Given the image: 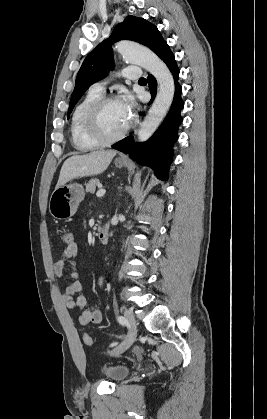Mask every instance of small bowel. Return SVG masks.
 Returning a JSON list of instances; mask_svg holds the SVG:
<instances>
[{
  "label": "small bowel",
  "instance_id": "small-bowel-1",
  "mask_svg": "<svg viewBox=\"0 0 267 419\" xmlns=\"http://www.w3.org/2000/svg\"><path fill=\"white\" fill-rule=\"evenodd\" d=\"M77 254L78 245L75 243L72 247L65 248L61 257L54 264V273L57 277L63 275H69L70 277L62 295V300L68 309L79 311L80 324L100 323L103 318L102 311L88 305L85 296L82 294V286L75 271L74 259ZM98 284L103 288V277L99 278Z\"/></svg>",
  "mask_w": 267,
  "mask_h": 419
}]
</instances>
